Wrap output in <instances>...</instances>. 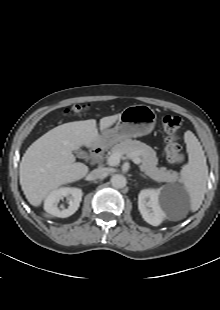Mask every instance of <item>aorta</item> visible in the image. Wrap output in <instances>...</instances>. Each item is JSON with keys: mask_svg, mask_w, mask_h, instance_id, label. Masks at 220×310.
<instances>
[{"mask_svg": "<svg viewBox=\"0 0 220 310\" xmlns=\"http://www.w3.org/2000/svg\"><path fill=\"white\" fill-rule=\"evenodd\" d=\"M111 184L116 189L124 188L127 184V180L123 175L115 174L111 177Z\"/></svg>", "mask_w": 220, "mask_h": 310, "instance_id": "1", "label": "aorta"}]
</instances>
